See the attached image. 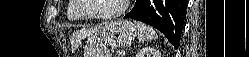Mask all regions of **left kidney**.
Segmentation results:
<instances>
[{"mask_svg":"<svg viewBox=\"0 0 249 57\" xmlns=\"http://www.w3.org/2000/svg\"><path fill=\"white\" fill-rule=\"evenodd\" d=\"M135 57H161L160 52L153 47H145L141 49Z\"/></svg>","mask_w":249,"mask_h":57,"instance_id":"5707ae66","label":"left kidney"}]
</instances>
